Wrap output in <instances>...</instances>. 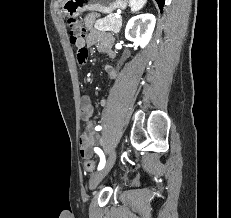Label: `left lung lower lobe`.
I'll use <instances>...</instances> for the list:
<instances>
[{
    "instance_id": "obj_1",
    "label": "left lung lower lobe",
    "mask_w": 231,
    "mask_h": 218,
    "mask_svg": "<svg viewBox=\"0 0 231 218\" xmlns=\"http://www.w3.org/2000/svg\"><path fill=\"white\" fill-rule=\"evenodd\" d=\"M156 2L158 3L159 8L162 10L165 0H156Z\"/></svg>"
}]
</instances>
